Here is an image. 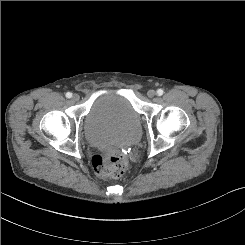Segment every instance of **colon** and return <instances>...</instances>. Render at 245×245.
<instances>
[{
    "label": "colon",
    "instance_id": "5ec220e1",
    "mask_svg": "<svg viewBox=\"0 0 245 245\" xmlns=\"http://www.w3.org/2000/svg\"><path fill=\"white\" fill-rule=\"evenodd\" d=\"M92 166L97 175L106 179L122 178L128 167V159L121 152L98 154L92 158Z\"/></svg>",
    "mask_w": 245,
    "mask_h": 245
}]
</instances>
